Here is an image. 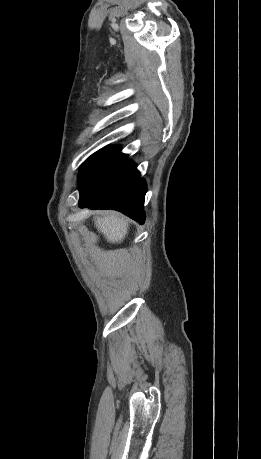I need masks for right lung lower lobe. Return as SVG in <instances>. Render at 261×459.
Returning a JSON list of instances; mask_svg holds the SVG:
<instances>
[{"label":"right lung lower lobe","instance_id":"obj_1","mask_svg":"<svg viewBox=\"0 0 261 459\" xmlns=\"http://www.w3.org/2000/svg\"><path fill=\"white\" fill-rule=\"evenodd\" d=\"M147 187L136 164L126 160L89 196L81 198L79 206L90 209H115L139 223L145 220L143 211Z\"/></svg>","mask_w":261,"mask_h":459}]
</instances>
